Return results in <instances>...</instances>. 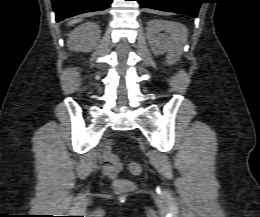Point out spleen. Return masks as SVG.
Listing matches in <instances>:
<instances>
[{"label": "spleen", "instance_id": "1", "mask_svg": "<svg viewBox=\"0 0 260 217\" xmlns=\"http://www.w3.org/2000/svg\"><path fill=\"white\" fill-rule=\"evenodd\" d=\"M179 31L182 33V37H183V39H185V37H186V33H185V31L182 30V29H180Z\"/></svg>", "mask_w": 260, "mask_h": 217}]
</instances>
